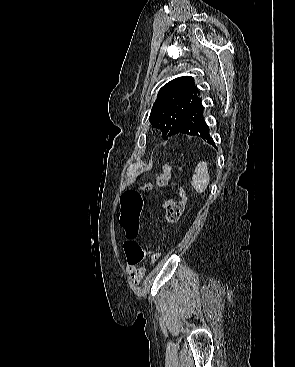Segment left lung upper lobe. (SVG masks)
Instances as JSON below:
<instances>
[{
    "instance_id": "5c2ea615",
    "label": "left lung upper lobe",
    "mask_w": 295,
    "mask_h": 367,
    "mask_svg": "<svg viewBox=\"0 0 295 367\" xmlns=\"http://www.w3.org/2000/svg\"><path fill=\"white\" fill-rule=\"evenodd\" d=\"M200 91L193 77L182 76L165 84L158 92L149 120L168 139L188 111L199 100Z\"/></svg>"
}]
</instances>
